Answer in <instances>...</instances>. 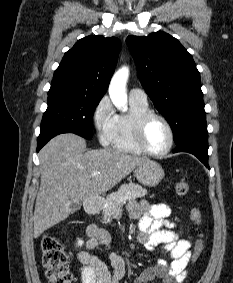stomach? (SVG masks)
Here are the masks:
<instances>
[{
  "label": "stomach",
  "instance_id": "obj_1",
  "mask_svg": "<svg viewBox=\"0 0 233 283\" xmlns=\"http://www.w3.org/2000/svg\"><path fill=\"white\" fill-rule=\"evenodd\" d=\"M137 180L146 186H157L164 178V170L155 161L149 160L135 170Z\"/></svg>",
  "mask_w": 233,
  "mask_h": 283
}]
</instances>
